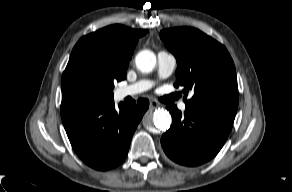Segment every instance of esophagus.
<instances>
[{
  "instance_id": "obj_1",
  "label": "esophagus",
  "mask_w": 292,
  "mask_h": 192,
  "mask_svg": "<svg viewBox=\"0 0 292 192\" xmlns=\"http://www.w3.org/2000/svg\"><path fill=\"white\" fill-rule=\"evenodd\" d=\"M159 105H160L159 102H157L155 100L150 101V108L151 109H155V108L159 107Z\"/></svg>"
}]
</instances>
